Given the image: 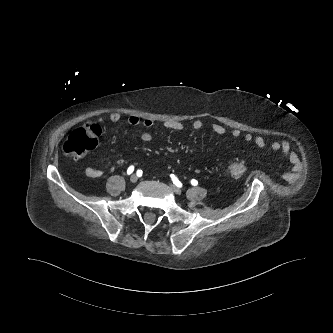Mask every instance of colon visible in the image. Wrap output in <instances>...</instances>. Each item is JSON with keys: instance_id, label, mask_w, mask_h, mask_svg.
<instances>
[{"instance_id": "obj_1", "label": "colon", "mask_w": 333, "mask_h": 333, "mask_svg": "<svg viewBox=\"0 0 333 333\" xmlns=\"http://www.w3.org/2000/svg\"><path fill=\"white\" fill-rule=\"evenodd\" d=\"M101 131L96 123H86L74 130L63 144L64 153L72 157L85 155L96 147ZM245 172L246 166L240 160L231 161L227 166V173L233 178H240Z\"/></svg>"}]
</instances>
